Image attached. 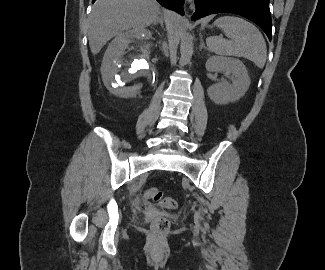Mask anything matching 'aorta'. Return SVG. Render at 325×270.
<instances>
[{
    "mask_svg": "<svg viewBox=\"0 0 325 270\" xmlns=\"http://www.w3.org/2000/svg\"><path fill=\"white\" fill-rule=\"evenodd\" d=\"M193 53V41L190 33L184 31L180 43V65L183 66L190 62Z\"/></svg>",
    "mask_w": 325,
    "mask_h": 270,
    "instance_id": "obj_1",
    "label": "aorta"
}]
</instances>
